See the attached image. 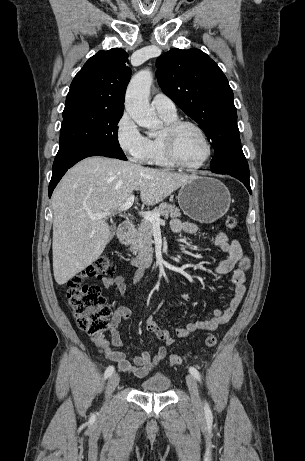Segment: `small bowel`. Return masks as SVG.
Returning <instances> with one entry per match:
<instances>
[{
	"label": "small bowel",
	"instance_id": "small-bowel-1",
	"mask_svg": "<svg viewBox=\"0 0 305 461\" xmlns=\"http://www.w3.org/2000/svg\"><path fill=\"white\" fill-rule=\"evenodd\" d=\"M171 229L176 234H195L198 230L196 224L179 219L172 220ZM215 245L222 252L226 253L227 257L214 267L213 273L215 275L231 274L230 282L233 287V294L229 298L226 308L212 311L205 319L190 320L184 328H176L175 335L178 338L187 337L190 333L195 331L208 332L216 330L219 326L227 323L231 319L244 297L246 291L245 273L250 267V260L244 255L239 241L235 239L230 240L225 233L217 234L215 237ZM141 275L142 273L138 271L135 274V281H138ZM102 285L106 289L115 287L120 295H124L127 289L125 280L122 276L103 278ZM184 298L188 299V296L184 295ZM163 305L164 301H161L157 305L155 312L146 319L147 330L156 335L163 343L153 357H151L150 353L147 351L134 357H127L123 352L112 349V347H121L123 345V336L119 331V326L131 316V310L127 306H119L114 311L108 327L109 336L100 334L95 337L96 345L103 350L110 361L117 365L119 370L132 373L138 378H146L157 365L165 359L167 347L171 346L175 340L174 337H172L167 330L161 328L156 321L155 315L160 311Z\"/></svg>",
	"mask_w": 305,
	"mask_h": 461
}]
</instances>
